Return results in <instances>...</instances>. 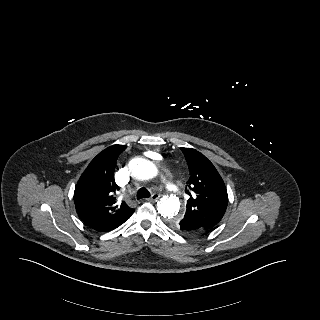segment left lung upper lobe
<instances>
[{
	"instance_id": "obj_1",
	"label": "left lung upper lobe",
	"mask_w": 320,
	"mask_h": 320,
	"mask_svg": "<svg viewBox=\"0 0 320 320\" xmlns=\"http://www.w3.org/2000/svg\"><path fill=\"white\" fill-rule=\"evenodd\" d=\"M190 170L183 220L194 222L197 228L210 230L222 219L228 204L225 184L214 165L200 152L181 148ZM181 219V220H182ZM178 221L172 226L178 228Z\"/></svg>"
}]
</instances>
